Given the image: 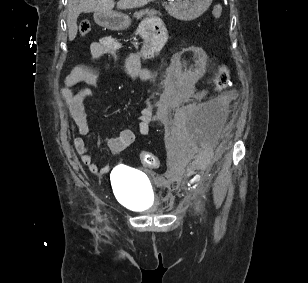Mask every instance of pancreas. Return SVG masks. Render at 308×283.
I'll use <instances>...</instances> for the list:
<instances>
[{"label": "pancreas", "mask_w": 308, "mask_h": 283, "mask_svg": "<svg viewBox=\"0 0 308 283\" xmlns=\"http://www.w3.org/2000/svg\"><path fill=\"white\" fill-rule=\"evenodd\" d=\"M156 15H161V14L155 9H149V8H146L145 10H140L134 13V17H136L137 19H141L143 16L152 17Z\"/></svg>", "instance_id": "obj_1"}]
</instances>
